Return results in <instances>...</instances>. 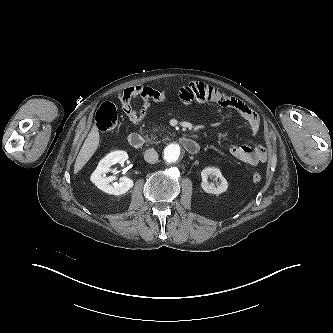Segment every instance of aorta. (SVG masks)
I'll return each mask as SVG.
<instances>
[{
  "mask_svg": "<svg viewBox=\"0 0 333 333\" xmlns=\"http://www.w3.org/2000/svg\"><path fill=\"white\" fill-rule=\"evenodd\" d=\"M181 156V147L178 144L172 143L164 149V159L169 163L177 162Z\"/></svg>",
  "mask_w": 333,
  "mask_h": 333,
  "instance_id": "aorta-1",
  "label": "aorta"
}]
</instances>
